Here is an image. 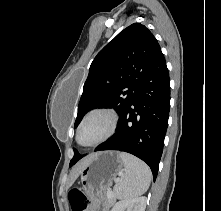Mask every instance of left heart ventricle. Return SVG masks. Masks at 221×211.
Instances as JSON below:
<instances>
[{"label": "left heart ventricle", "instance_id": "1", "mask_svg": "<svg viewBox=\"0 0 221 211\" xmlns=\"http://www.w3.org/2000/svg\"><path fill=\"white\" fill-rule=\"evenodd\" d=\"M108 120L105 116L97 115L90 118L83 126L80 133V141L89 144L98 140L106 131Z\"/></svg>", "mask_w": 221, "mask_h": 211}]
</instances>
